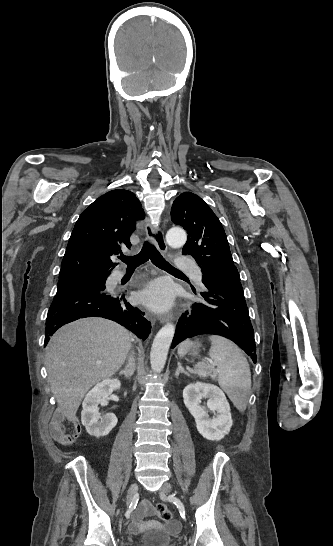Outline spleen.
I'll return each mask as SVG.
<instances>
[{"label": "spleen", "instance_id": "obj_1", "mask_svg": "<svg viewBox=\"0 0 333 546\" xmlns=\"http://www.w3.org/2000/svg\"><path fill=\"white\" fill-rule=\"evenodd\" d=\"M210 360L217 366L215 369L208 361L198 362L194 368L200 377L217 376L220 387L226 392L234 406L241 412L247 407L251 390V372L247 359L242 351L229 339L221 336H210ZM192 345L186 340L179 345L178 354L184 357ZM213 373V375H212Z\"/></svg>", "mask_w": 333, "mask_h": 546}]
</instances>
